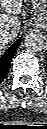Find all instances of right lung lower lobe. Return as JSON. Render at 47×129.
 Wrapping results in <instances>:
<instances>
[{
    "instance_id": "98d812e1",
    "label": "right lung lower lobe",
    "mask_w": 47,
    "mask_h": 129,
    "mask_svg": "<svg viewBox=\"0 0 47 129\" xmlns=\"http://www.w3.org/2000/svg\"><path fill=\"white\" fill-rule=\"evenodd\" d=\"M21 38H19L6 52L0 57V83L4 80L7 75L11 60L15 55L17 48L19 47Z\"/></svg>"
}]
</instances>
